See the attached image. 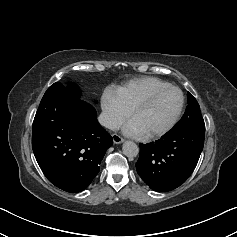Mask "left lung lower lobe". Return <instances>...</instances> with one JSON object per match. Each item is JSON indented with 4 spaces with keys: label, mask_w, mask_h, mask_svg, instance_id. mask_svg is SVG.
I'll use <instances>...</instances> for the list:
<instances>
[{
    "label": "left lung lower lobe",
    "mask_w": 237,
    "mask_h": 237,
    "mask_svg": "<svg viewBox=\"0 0 237 237\" xmlns=\"http://www.w3.org/2000/svg\"><path fill=\"white\" fill-rule=\"evenodd\" d=\"M205 130L170 131L159 140L140 144L136 169L153 190L165 192L183 184L192 174L204 146Z\"/></svg>",
    "instance_id": "left-lung-lower-lobe-1"
}]
</instances>
